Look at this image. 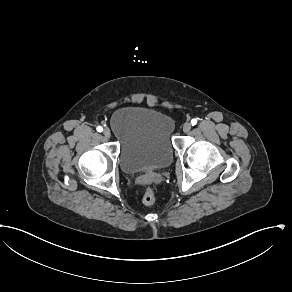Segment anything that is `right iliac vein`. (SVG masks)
<instances>
[{"label": "right iliac vein", "mask_w": 292, "mask_h": 292, "mask_svg": "<svg viewBox=\"0 0 292 292\" xmlns=\"http://www.w3.org/2000/svg\"><path fill=\"white\" fill-rule=\"evenodd\" d=\"M103 134H104V136H105L106 138H110V136H111V132H110V130H109L108 128H105V129L103 130Z\"/></svg>", "instance_id": "63e3f726"}]
</instances>
